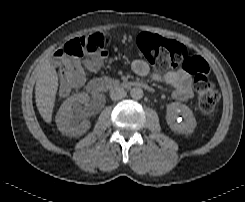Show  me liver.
I'll return each instance as SVG.
<instances>
[{
  "label": "liver",
  "instance_id": "obj_1",
  "mask_svg": "<svg viewBox=\"0 0 245 202\" xmlns=\"http://www.w3.org/2000/svg\"><path fill=\"white\" fill-rule=\"evenodd\" d=\"M58 89V75L55 68L46 62L42 65L35 87L36 105L45 122L52 121V113Z\"/></svg>",
  "mask_w": 245,
  "mask_h": 202
}]
</instances>
